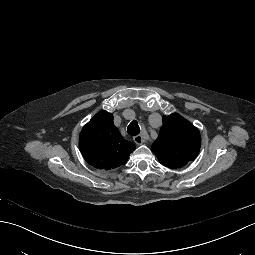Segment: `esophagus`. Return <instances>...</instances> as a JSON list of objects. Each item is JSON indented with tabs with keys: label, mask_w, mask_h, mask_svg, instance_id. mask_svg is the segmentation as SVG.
<instances>
[{
	"label": "esophagus",
	"mask_w": 255,
	"mask_h": 255,
	"mask_svg": "<svg viewBox=\"0 0 255 255\" xmlns=\"http://www.w3.org/2000/svg\"><path fill=\"white\" fill-rule=\"evenodd\" d=\"M133 140L135 141L136 144L141 145L144 143L142 135H136Z\"/></svg>",
	"instance_id": "34e87169"
}]
</instances>
